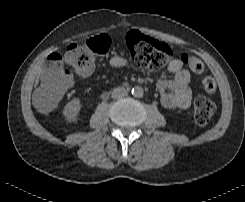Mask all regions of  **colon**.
<instances>
[{
  "label": "colon",
  "mask_w": 245,
  "mask_h": 202,
  "mask_svg": "<svg viewBox=\"0 0 245 202\" xmlns=\"http://www.w3.org/2000/svg\"><path fill=\"white\" fill-rule=\"evenodd\" d=\"M111 38L106 34L97 35L83 44H71L64 54L55 52L47 59V68L39 89L40 109L49 113L62 99L71 86L72 74L86 72L96 54H105L111 45ZM128 53L137 67L148 70H160L174 57L171 47L165 42L158 41L137 32L126 35ZM184 64L196 74L204 71V64L194 56L183 54ZM204 90L212 94L217 86L213 78L202 79ZM217 109L214 101L200 97L195 101L194 118L199 125L207 124Z\"/></svg>",
  "instance_id": "obj_1"
}]
</instances>
